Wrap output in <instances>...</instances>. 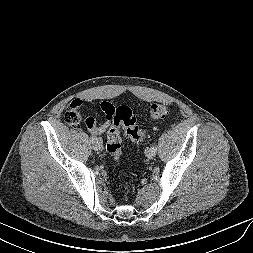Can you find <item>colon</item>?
Returning a JSON list of instances; mask_svg holds the SVG:
<instances>
[{
  "label": "colon",
  "instance_id": "obj_1",
  "mask_svg": "<svg viewBox=\"0 0 253 253\" xmlns=\"http://www.w3.org/2000/svg\"><path fill=\"white\" fill-rule=\"evenodd\" d=\"M111 126L107 133L106 151L118 161L121 157V136L122 128L125 134L134 142H142L147 131L136 124V119L128 106L120 105L112 108ZM168 113V108L164 104H153L150 108V117L152 120L164 118ZM65 120L72 126H78L85 123L87 126L94 124V118L84 116L79 101L71 102L65 109Z\"/></svg>",
  "mask_w": 253,
  "mask_h": 253
}]
</instances>
